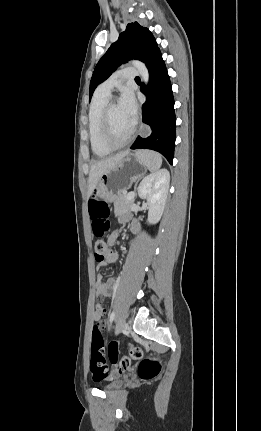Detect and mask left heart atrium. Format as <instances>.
I'll list each match as a JSON object with an SVG mask.
<instances>
[{"label": "left heart atrium", "instance_id": "obj_1", "mask_svg": "<svg viewBox=\"0 0 261 431\" xmlns=\"http://www.w3.org/2000/svg\"><path fill=\"white\" fill-rule=\"evenodd\" d=\"M118 105L131 124L134 125L137 119V103L134 94L130 90H124Z\"/></svg>", "mask_w": 261, "mask_h": 431}]
</instances>
